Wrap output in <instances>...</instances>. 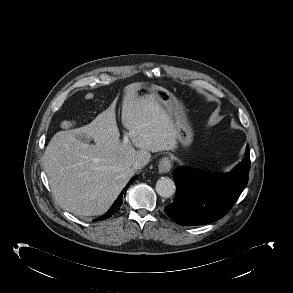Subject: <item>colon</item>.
Masks as SVG:
<instances>
[{
    "label": "colon",
    "instance_id": "5ec220e1",
    "mask_svg": "<svg viewBox=\"0 0 293 293\" xmlns=\"http://www.w3.org/2000/svg\"><path fill=\"white\" fill-rule=\"evenodd\" d=\"M85 99L88 100V101L93 100L94 99V94L92 92L86 93ZM74 124L75 123L73 121L65 120V121H63L61 123V127L63 129H70V128H72L74 126Z\"/></svg>",
    "mask_w": 293,
    "mask_h": 293
}]
</instances>
